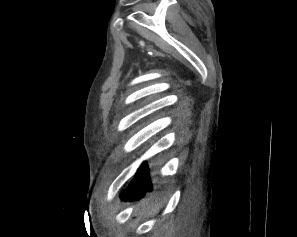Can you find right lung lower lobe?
I'll return each mask as SVG.
<instances>
[{"instance_id":"98d812e1","label":"right lung lower lobe","mask_w":297,"mask_h":237,"mask_svg":"<svg viewBox=\"0 0 297 237\" xmlns=\"http://www.w3.org/2000/svg\"><path fill=\"white\" fill-rule=\"evenodd\" d=\"M152 186L149 178V170L146 162H144L137 171L136 180L121 195L122 199H131L138 197L140 194L150 192Z\"/></svg>"}]
</instances>
